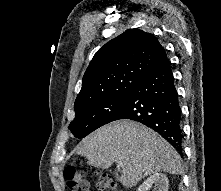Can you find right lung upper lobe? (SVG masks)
<instances>
[{
  "label": "right lung upper lobe",
  "instance_id": "right-lung-upper-lobe-1",
  "mask_svg": "<svg viewBox=\"0 0 221 191\" xmlns=\"http://www.w3.org/2000/svg\"><path fill=\"white\" fill-rule=\"evenodd\" d=\"M166 60L165 50L154 35L139 29L127 30L94 55L83 76L74 110L132 91Z\"/></svg>",
  "mask_w": 221,
  "mask_h": 191
}]
</instances>
